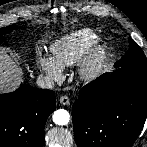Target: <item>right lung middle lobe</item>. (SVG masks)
Segmentation results:
<instances>
[{
  "label": "right lung middle lobe",
  "instance_id": "1",
  "mask_svg": "<svg viewBox=\"0 0 147 147\" xmlns=\"http://www.w3.org/2000/svg\"><path fill=\"white\" fill-rule=\"evenodd\" d=\"M16 28V25H10L4 28L0 29V42H1V37L9 32H11L12 30H14Z\"/></svg>",
  "mask_w": 147,
  "mask_h": 147
}]
</instances>
